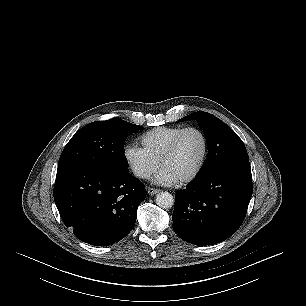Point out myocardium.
<instances>
[{"mask_svg":"<svg viewBox=\"0 0 306 306\" xmlns=\"http://www.w3.org/2000/svg\"><path fill=\"white\" fill-rule=\"evenodd\" d=\"M190 131H195L201 136V138L203 140V154H202L201 160H200L198 166L196 167V169L190 175H188L187 177H184V178L180 179L179 180L180 183H189V182L195 180L200 175V173L202 172V170L205 166V163H206L207 157H208V153H209V142H208V138H207L206 134L204 133V131L202 129H200L198 127H194V126L184 128L174 138V140L171 142L168 149L166 150V152L164 153V155L162 156V158L160 160V166L163 167L164 164L175 154L183 136Z\"/></svg>","mask_w":306,"mask_h":306,"instance_id":"myocardium-1","label":"myocardium"}]
</instances>
